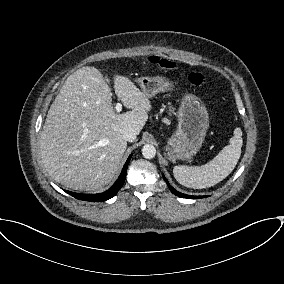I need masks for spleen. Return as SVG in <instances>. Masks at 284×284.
<instances>
[{"mask_svg": "<svg viewBox=\"0 0 284 284\" xmlns=\"http://www.w3.org/2000/svg\"><path fill=\"white\" fill-rule=\"evenodd\" d=\"M229 145L225 146L211 161L202 166H175L173 175L181 185L202 189L214 186L225 179L235 168L243 144L242 130L236 128Z\"/></svg>", "mask_w": 284, "mask_h": 284, "instance_id": "1", "label": "spleen"}]
</instances>
